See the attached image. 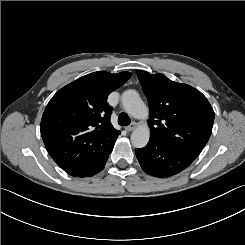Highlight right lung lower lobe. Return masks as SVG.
<instances>
[{
	"label": "right lung lower lobe",
	"instance_id": "right-lung-lower-lobe-1",
	"mask_svg": "<svg viewBox=\"0 0 245 245\" xmlns=\"http://www.w3.org/2000/svg\"><path fill=\"white\" fill-rule=\"evenodd\" d=\"M111 151L109 153H107L106 155H104L103 157L96 160L95 162H93L92 164H90L89 166H87L82 171H80V172H78L72 176H74V177H89V176H93V175L99 173L101 170H103Z\"/></svg>",
	"mask_w": 245,
	"mask_h": 245
}]
</instances>
